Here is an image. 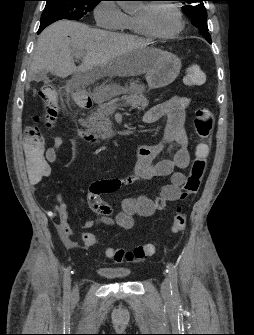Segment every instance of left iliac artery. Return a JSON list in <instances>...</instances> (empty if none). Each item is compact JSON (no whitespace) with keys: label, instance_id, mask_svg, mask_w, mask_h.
I'll return each instance as SVG.
<instances>
[{"label":"left iliac artery","instance_id":"1","mask_svg":"<svg viewBox=\"0 0 254 335\" xmlns=\"http://www.w3.org/2000/svg\"><path fill=\"white\" fill-rule=\"evenodd\" d=\"M167 271H168L170 282H171V295L177 298L179 297L177 268L173 263H168Z\"/></svg>","mask_w":254,"mask_h":335}]
</instances>
